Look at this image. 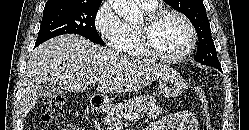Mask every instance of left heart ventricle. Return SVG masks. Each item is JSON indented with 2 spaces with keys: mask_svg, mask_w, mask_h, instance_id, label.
<instances>
[{
  "mask_svg": "<svg viewBox=\"0 0 249 130\" xmlns=\"http://www.w3.org/2000/svg\"><path fill=\"white\" fill-rule=\"evenodd\" d=\"M189 39L187 26L175 16L162 18L153 30L155 46L166 55H176L182 52L187 47Z\"/></svg>",
  "mask_w": 249,
  "mask_h": 130,
  "instance_id": "left-heart-ventricle-1",
  "label": "left heart ventricle"
}]
</instances>
